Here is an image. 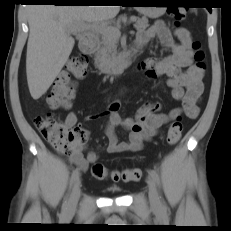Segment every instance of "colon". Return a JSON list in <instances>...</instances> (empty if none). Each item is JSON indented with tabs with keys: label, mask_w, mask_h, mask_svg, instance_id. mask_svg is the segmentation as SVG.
Returning a JSON list of instances; mask_svg holds the SVG:
<instances>
[{
	"label": "colon",
	"mask_w": 231,
	"mask_h": 231,
	"mask_svg": "<svg viewBox=\"0 0 231 231\" xmlns=\"http://www.w3.org/2000/svg\"><path fill=\"white\" fill-rule=\"evenodd\" d=\"M170 15L178 26L186 16V9L183 7L173 8ZM194 51L195 66L200 71L205 69V54L201 49L198 41L192 42ZM88 60L83 55L71 57L59 77L54 82L52 91L47 98L50 108H66L74 95L75 79L84 78L87 74ZM35 126L41 136L48 140L55 148L69 149L71 146L82 142L86 137V131L81 127H69L64 123L58 122L53 115L47 114L39 116L35 119ZM182 122L178 117L174 120L167 131V142L170 145H175L179 142L182 136ZM93 178L102 180L108 176L115 182L123 181H138L142 177L140 169H123L118 167L112 172H108L106 167L96 162L91 168Z\"/></svg>",
	"instance_id": "1"
}]
</instances>
